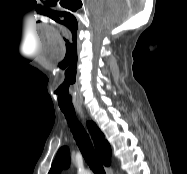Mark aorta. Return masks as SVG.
Returning a JSON list of instances; mask_svg holds the SVG:
<instances>
[{"instance_id":"1","label":"aorta","mask_w":187,"mask_h":174,"mask_svg":"<svg viewBox=\"0 0 187 174\" xmlns=\"http://www.w3.org/2000/svg\"><path fill=\"white\" fill-rule=\"evenodd\" d=\"M78 174H91L90 171L87 170H80Z\"/></svg>"}]
</instances>
